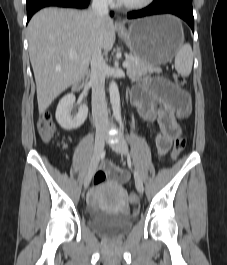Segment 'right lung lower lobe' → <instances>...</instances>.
Returning <instances> with one entry per match:
<instances>
[{
  "label": "right lung lower lobe",
  "instance_id": "right-lung-lower-lobe-1",
  "mask_svg": "<svg viewBox=\"0 0 227 265\" xmlns=\"http://www.w3.org/2000/svg\"><path fill=\"white\" fill-rule=\"evenodd\" d=\"M89 2L90 0H27V22L35 12L44 7L58 6L85 8L88 6Z\"/></svg>",
  "mask_w": 227,
  "mask_h": 265
}]
</instances>
